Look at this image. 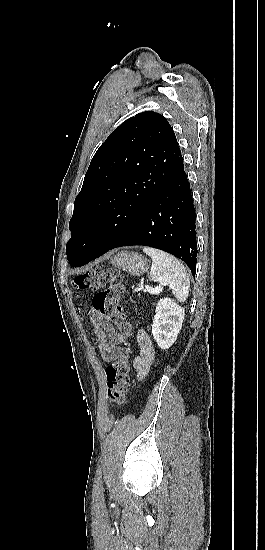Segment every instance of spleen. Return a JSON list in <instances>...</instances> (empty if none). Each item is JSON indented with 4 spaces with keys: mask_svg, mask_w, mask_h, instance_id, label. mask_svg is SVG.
Masks as SVG:
<instances>
[{
    "mask_svg": "<svg viewBox=\"0 0 265 550\" xmlns=\"http://www.w3.org/2000/svg\"><path fill=\"white\" fill-rule=\"evenodd\" d=\"M144 253L152 259L150 276L160 286H168L179 302L189 294L190 281L185 267L174 256L159 249L144 247Z\"/></svg>",
    "mask_w": 265,
    "mask_h": 550,
    "instance_id": "1",
    "label": "spleen"
}]
</instances>
